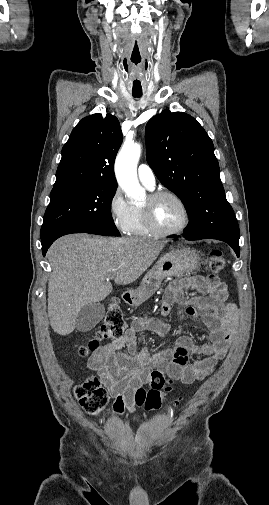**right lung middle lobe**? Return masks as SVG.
<instances>
[{
	"label": "right lung middle lobe",
	"mask_w": 269,
	"mask_h": 505,
	"mask_svg": "<svg viewBox=\"0 0 269 505\" xmlns=\"http://www.w3.org/2000/svg\"><path fill=\"white\" fill-rule=\"evenodd\" d=\"M116 188L105 184L80 183L54 187L40 237L62 227L97 235L119 236L110 212Z\"/></svg>",
	"instance_id": "obj_1"
}]
</instances>
